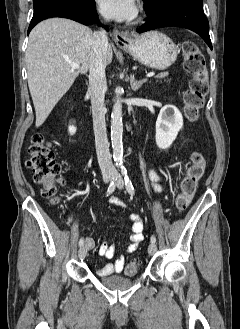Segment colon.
I'll use <instances>...</instances> for the list:
<instances>
[{"mask_svg":"<svg viewBox=\"0 0 240 329\" xmlns=\"http://www.w3.org/2000/svg\"><path fill=\"white\" fill-rule=\"evenodd\" d=\"M184 69L191 75L188 88L184 92L185 116L189 121L197 119L208 93V72L205 58L201 50L193 43L183 45ZM28 167L33 173L35 183L42 187V195L52 204L59 202L58 189L64 183L61 175V165L56 161L51 144L43 133H35L29 148ZM191 164L181 181L180 192L175 200V207L179 211L190 205L199 180L202 178L206 162L199 151H193L190 156ZM138 271V263L131 261L126 267L128 275Z\"/></svg>","mask_w":240,"mask_h":329,"instance_id":"colon-1","label":"colon"}]
</instances>
